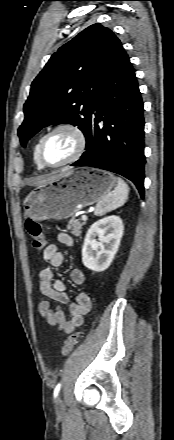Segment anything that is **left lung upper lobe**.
Returning a JSON list of instances; mask_svg holds the SVG:
<instances>
[{
	"mask_svg": "<svg viewBox=\"0 0 174 440\" xmlns=\"http://www.w3.org/2000/svg\"><path fill=\"white\" fill-rule=\"evenodd\" d=\"M123 52L116 35L99 23L60 47L32 82L18 129L21 145L51 124L77 125L86 136L92 104Z\"/></svg>",
	"mask_w": 174,
	"mask_h": 440,
	"instance_id": "1",
	"label": "left lung upper lobe"
}]
</instances>
